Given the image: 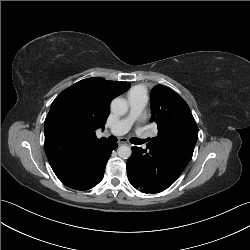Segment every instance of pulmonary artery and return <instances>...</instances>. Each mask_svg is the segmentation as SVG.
I'll use <instances>...</instances> for the list:
<instances>
[{
	"mask_svg": "<svg viewBox=\"0 0 250 250\" xmlns=\"http://www.w3.org/2000/svg\"><path fill=\"white\" fill-rule=\"evenodd\" d=\"M129 113L126 117L114 124L108 133L120 136L127 133L135 120L139 117L147 103V96L142 93H130L128 96Z\"/></svg>",
	"mask_w": 250,
	"mask_h": 250,
	"instance_id": "pulmonary-artery-1",
	"label": "pulmonary artery"
}]
</instances>
